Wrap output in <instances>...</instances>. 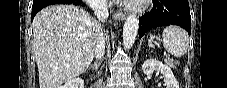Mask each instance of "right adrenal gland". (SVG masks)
Returning <instances> with one entry per match:
<instances>
[{
    "instance_id": "2a0ac1e0",
    "label": "right adrenal gland",
    "mask_w": 227,
    "mask_h": 88,
    "mask_svg": "<svg viewBox=\"0 0 227 88\" xmlns=\"http://www.w3.org/2000/svg\"><path fill=\"white\" fill-rule=\"evenodd\" d=\"M100 63H101V60H100V62H96V63H94L93 65H91V67L90 68H92V69H97L98 68V66L100 65Z\"/></svg>"
}]
</instances>
